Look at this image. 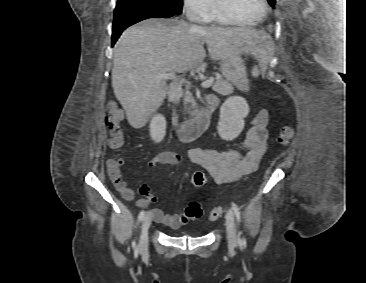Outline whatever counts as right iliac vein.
I'll list each match as a JSON object with an SVG mask.
<instances>
[{
  "mask_svg": "<svg viewBox=\"0 0 366 283\" xmlns=\"http://www.w3.org/2000/svg\"><path fill=\"white\" fill-rule=\"evenodd\" d=\"M151 220V214L147 213L142 222V231L139 240V251L141 253L145 252L148 249V230L151 225Z\"/></svg>",
  "mask_w": 366,
  "mask_h": 283,
  "instance_id": "63e3f726",
  "label": "right iliac vein"
}]
</instances>
